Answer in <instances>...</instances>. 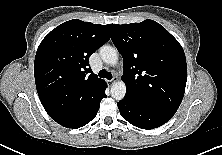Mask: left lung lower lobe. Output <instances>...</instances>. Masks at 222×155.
Segmentation results:
<instances>
[{
  "instance_id": "0a47b994",
  "label": "left lung lower lobe",
  "mask_w": 222,
  "mask_h": 155,
  "mask_svg": "<svg viewBox=\"0 0 222 155\" xmlns=\"http://www.w3.org/2000/svg\"><path fill=\"white\" fill-rule=\"evenodd\" d=\"M121 116L141 129L157 128L168 122L175 113L146 106L132 99L124 98L117 103Z\"/></svg>"
}]
</instances>
